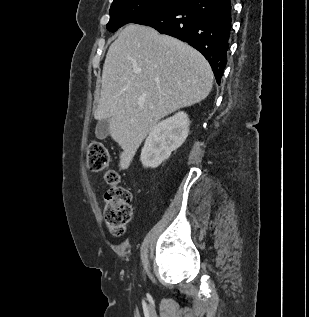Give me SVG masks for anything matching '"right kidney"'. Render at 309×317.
<instances>
[{"mask_svg":"<svg viewBox=\"0 0 309 317\" xmlns=\"http://www.w3.org/2000/svg\"><path fill=\"white\" fill-rule=\"evenodd\" d=\"M190 120L186 113L178 112L155 124L145 140L140 160L144 168H157L179 148L189 133Z\"/></svg>","mask_w":309,"mask_h":317,"instance_id":"1","label":"right kidney"}]
</instances>
